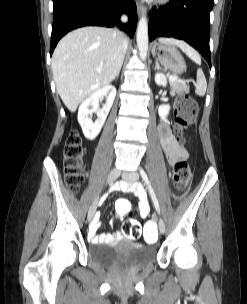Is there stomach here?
<instances>
[{"mask_svg":"<svg viewBox=\"0 0 247 304\" xmlns=\"http://www.w3.org/2000/svg\"><path fill=\"white\" fill-rule=\"evenodd\" d=\"M152 54L169 71L180 74L186 69V63L173 44L156 43L152 48Z\"/></svg>","mask_w":247,"mask_h":304,"instance_id":"obj_1","label":"stomach"}]
</instances>
